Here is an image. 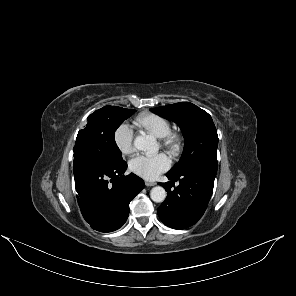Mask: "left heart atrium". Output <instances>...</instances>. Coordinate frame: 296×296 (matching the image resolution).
I'll use <instances>...</instances> for the list:
<instances>
[{"label": "left heart atrium", "instance_id": "39dd6f15", "mask_svg": "<svg viewBox=\"0 0 296 296\" xmlns=\"http://www.w3.org/2000/svg\"><path fill=\"white\" fill-rule=\"evenodd\" d=\"M170 159L165 153L140 155L130 161V170L136 175L154 180L170 167Z\"/></svg>", "mask_w": 296, "mask_h": 296}]
</instances>
